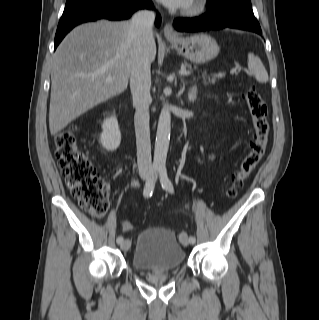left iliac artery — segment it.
Masks as SVG:
<instances>
[{"label": "left iliac artery", "mask_w": 319, "mask_h": 320, "mask_svg": "<svg viewBox=\"0 0 319 320\" xmlns=\"http://www.w3.org/2000/svg\"><path fill=\"white\" fill-rule=\"evenodd\" d=\"M158 172H159V177H160V182H161V185L163 187V189H165L166 191L170 192V193H173L174 192V188H173V185H172V182L170 181V179L168 178V175H167V170H166V167L165 166H159L158 168ZM183 234V232L180 234V236ZM188 241L191 243V244H194L196 239L195 237L193 236H190L188 238Z\"/></svg>", "instance_id": "obj_1"}]
</instances>
